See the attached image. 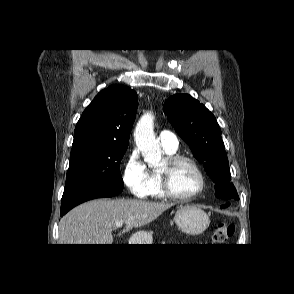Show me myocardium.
<instances>
[{
  "mask_svg": "<svg viewBox=\"0 0 294 294\" xmlns=\"http://www.w3.org/2000/svg\"><path fill=\"white\" fill-rule=\"evenodd\" d=\"M183 163L189 164L196 171L200 179L199 188L190 195H181L177 193L172 187V182H171L172 173L177 166ZM159 174L161 177L162 191L167 197L174 200H179V201L193 200L196 197H198L206 188V177L202 168L199 166L196 160L188 156H184V155L169 156L166 160L165 168H161L159 170Z\"/></svg>",
  "mask_w": 294,
  "mask_h": 294,
  "instance_id": "1",
  "label": "myocardium"
}]
</instances>
